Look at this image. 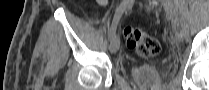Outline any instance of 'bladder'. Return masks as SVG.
I'll return each mask as SVG.
<instances>
[{
    "label": "bladder",
    "mask_w": 209,
    "mask_h": 90,
    "mask_svg": "<svg viewBox=\"0 0 209 90\" xmlns=\"http://www.w3.org/2000/svg\"><path fill=\"white\" fill-rule=\"evenodd\" d=\"M131 75L143 90H150L159 86L163 80L162 71L159 67L149 64L135 65L131 69Z\"/></svg>",
    "instance_id": "31cf9c89"
}]
</instances>
